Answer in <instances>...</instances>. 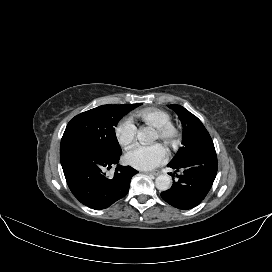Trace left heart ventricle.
I'll return each instance as SVG.
<instances>
[{
	"instance_id": "1",
	"label": "left heart ventricle",
	"mask_w": 272,
	"mask_h": 272,
	"mask_svg": "<svg viewBox=\"0 0 272 272\" xmlns=\"http://www.w3.org/2000/svg\"><path fill=\"white\" fill-rule=\"evenodd\" d=\"M158 139H159V136H158V134L155 132L154 140H158Z\"/></svg>"
}]
</instances>
